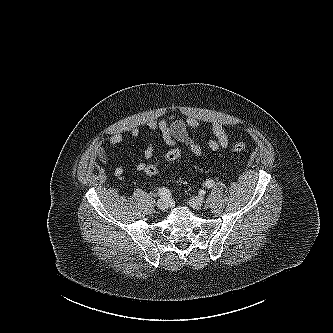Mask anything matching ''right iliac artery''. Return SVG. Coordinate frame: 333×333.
Segmentation results:
<instances>
[{
  "label": "right iliac artery",
  "mask_w": 333,
  "mask_h": 333,
  "mask_svg": "<svg viewBox=\"0 0 333 333\" xmlns=\"http://www.w3.org/2000/svg\"><path fill=\"white\" fill-rule=\"evenodd\" d=\"M159 196L163 199H169L171 197V193L168 189L166 188H161L159 189Z\"/></svg>",
  "instance_id": "1"
}]
</instances>
